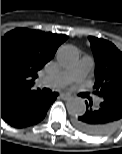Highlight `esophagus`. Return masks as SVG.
<instances>
[{"label": "esophagus", "instance_id": "1", "mask_svg": "<svg viewBox=\"0 0 122 154\" xmlns=\"http://www.w3.org/2000/svg\"><path fill=\"white\" fill-rule=\"evenodd\" d=\"M60 96H61L62 99H64V100H68V99L71 98V94L66 93V92H62V93L60 94Z\"/></svg>", "mask_w": 122, "mask_h": 154}]
</instances>
